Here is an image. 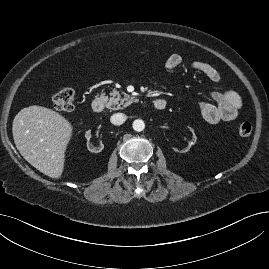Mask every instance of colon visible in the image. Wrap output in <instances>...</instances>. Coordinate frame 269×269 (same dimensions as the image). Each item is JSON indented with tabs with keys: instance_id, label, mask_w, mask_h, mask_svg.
I'll return each instance as SVG.
<instances>
[{
	"instance_id": "1",
	"label": "colon",
	"mask_w": 269,
	"mask_h": 269,
	"mask_svg": "<svg viewBox=\"0 0 269 269\" xmlns=\"http://www.w3.org/2000/svg\"><path fill=\"white\" fill-rule=\"evenodd\" d=\"M53 105L56 111L61 113L71 112L75 107V91L68 85H61L53 95ZM238 133L241 137H248L252 133V124L242 121L238 125Z\"/></svg>"
}]
</instances>
